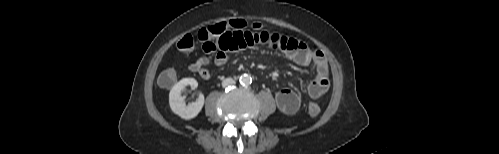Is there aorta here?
<instances>
[{
	"mask_svg": "<svg viewBox=\"0 0 499 154\" xmlns=\"http://www.w3.org/2000/svg\"><path fill=\"white\" fill-rule=\"evenodd\" d=\"M239 82L241 85L247 86V85L251 84L252 78L248 74H243L240 76Z\"/></svg>",
	"mask_w": 499,
	"mask_h": 154,
	"instance_id": "762f6f07",
	"label": "aorta"
}]
</instances>
